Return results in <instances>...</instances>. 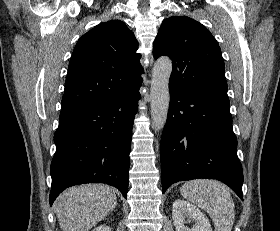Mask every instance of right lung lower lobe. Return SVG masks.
Wrapping results in <instances>:
<instances>
[{
  "label": "right lung lower lobe",
  "instance_id": "98d812e1",
  "mask_svg": "<svg viewBox=\"0 0 280 231\" xmlns=\"http://www.w3.org/2000/svg\"><path fill=\"white\" fill-rule=\"evenodd\" d=\"M139 99L136 90L60 113L50 167V205L63 190L82 183L115 186L127 199L129 153Z\"/></svg>",
  "mask_w": 280,
  "mask_h": 231
}]
</instances>
